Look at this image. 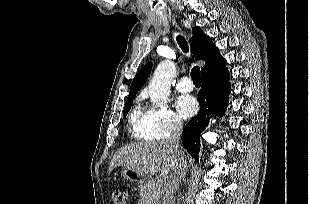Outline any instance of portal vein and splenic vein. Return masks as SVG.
<instances>
[{"label": "portal vein and splenic vein", "mask_w": 309, "mask_h": 204, "mask_svg": "<svg viewBox=\"0 0 309 204\" xmlns=\"http://www.w3.org/2000/svg\"><path fill=\"white\" fill-rule=\"evenodd\" d=\"M163 181L166 183L168 181L167 177H164Z\"/></svg>", "instance_id": "obj_1"}]
</instances>
